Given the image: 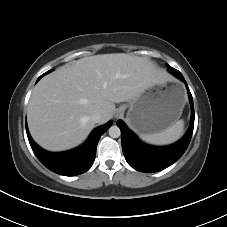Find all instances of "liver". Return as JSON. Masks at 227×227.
<instances>
[{
	"label": "liver",
	"mask_w": 227,
	"mask_h": 227,
	"mask_svg": "<svg viewBox=\"0 0 227 227\" xmlns=\"http://www.w3.org/2000/svg\"><path fill=\"white\" fill-rule=\"evenodd\" d=\"M167 80L147 58L124 53L84 57L43 77L35 86L27 109L31 136L49 151L81 144L94 128L109 121L115 103L131 101L148 87Z\"/></svg>",
	"instance_id": "1"
}]
</instances>
